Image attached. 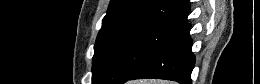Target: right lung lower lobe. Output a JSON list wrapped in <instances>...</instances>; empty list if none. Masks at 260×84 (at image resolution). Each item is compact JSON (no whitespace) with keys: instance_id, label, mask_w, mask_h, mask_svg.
<instances>
[{"instance_id":"98d812e1","label":"right lung lower lobe","mask_w":260,"mask_h":84,"mask_svg":"<svg viewBox=\"0 0 260 84\" xmlns=\"http://www.w3.org/2000/svg\"><path fill=\"white\" fill-rule=\"evenodd\" d=\"M191 25L183 24L170 39L128 79L158 78L191 84L195 57L191 51Z\"/></svg>"}]
</instances>
